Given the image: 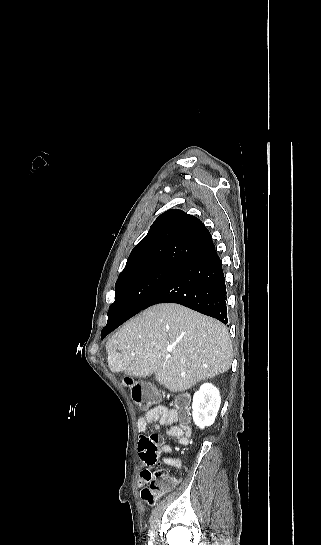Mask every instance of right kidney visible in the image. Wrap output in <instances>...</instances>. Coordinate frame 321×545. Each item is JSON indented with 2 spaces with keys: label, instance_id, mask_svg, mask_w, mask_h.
Returning <instances> with one entry per match:
<instances>
[{
  "label": "right kidney",
  "instance_id": "right-kidney-1",
  "mask_svg": "<svg viewBox=\"0 0 321 545\" xmlns=\"http://www.w3.org/2000/svg\"><path fill=\"white\" fill-rule=\"evenodd\" d=\"M220 405L221 397L218 389L213 387L211 383L201 385L199 391L195 393L192 403V417L195 425L199 429L213 425Z\"/></svg>",
  "mask_w": 321,
  "mask_h": 545
}]
</instances>
